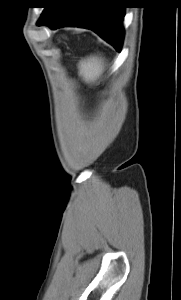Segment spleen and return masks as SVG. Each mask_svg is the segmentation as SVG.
<instances>
[{
    "mask_svg": "<svg viewBox=\"0 0 181 300\" xmlns=\"http://www.w3.org/2000/svg\"><path fill=\"white\" fill-rule=\"evenodd\" d=\"M105 69L104 60L92 55L83 59L78 64V74L86 83H94L100 78Z\"/></svg>",
    "mask_w": 181,
    "mask_h": 300,
    "instance_id": "3e777b00",
    "label": "spleen"
}]
</instances>
